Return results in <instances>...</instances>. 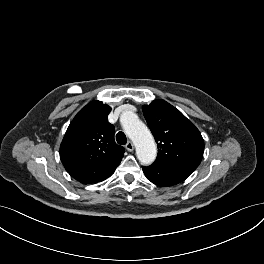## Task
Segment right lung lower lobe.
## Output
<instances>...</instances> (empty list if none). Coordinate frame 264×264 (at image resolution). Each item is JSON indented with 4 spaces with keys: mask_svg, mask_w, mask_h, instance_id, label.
Here are the masks:
<instances>
[{
    "mask_svg": "<svg viewBox=\"0 0 264 264\" xmlns=\"http://www.w3.org/2000/svg\"><path fill=\"white\" fill-rule=\"evenodd\" d=\"M112 173H113V172H112ZM112 173H111V174H112ZM111 174H110V175H111ZM110 175H109V176H110ZM109 176H107V177H109ZM107 177H106V178H107ZM106 178H105V179H106ZM105 179H103V180H105Z\"/></svg>",
    "mask_w": 264,
    "mask_h": 264,
    "instance_id": "1",
    "label": "right lung lower lobe"
}]
</instances>
